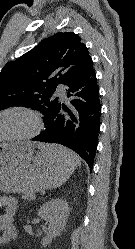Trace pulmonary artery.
Listing matches in <instances>:
<instances>
[{"label": "pulmonary artery", "mask_w": 135, "mask_h": 249, "mask_svg": "<svg viewBox=\"0 0 135 249\" xmlns=\"http://www.w3.org/2000/svg\"><path fill=\"white\" fill-rule=\"evenodd\" d=\"M56 93L63 99L66 97L65 90L61 86L57 88Z\"/></svg>", "instance_id": "1"}]
</instances>
